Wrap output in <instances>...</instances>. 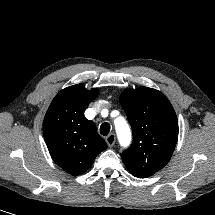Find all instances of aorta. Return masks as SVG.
Here are the masks:
<instances>
[{
	"label": "aorta",
	"instance_id": "aorta-1",
	"mask_svg": "<svg viewBox=\"0 0 215 215\" xmlns=\"http://www.w3.org/2000/svg\"><path fill=\"white\" fill-rule=\"evenodd\" d=\"M115 128L118 140L122 146L129 145L131 141V131L124 118L119 117L115 120Z\"/></svg>",
	"mask_w": 215,
	"mask_h": 215
}]
</instances>
